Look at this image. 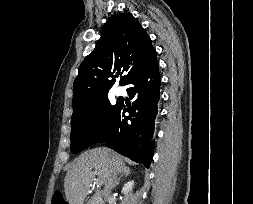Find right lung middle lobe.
Instances as JSON below:
<instances>
[{
  "label": "right lung middle lobe",
  "instance_id": "dd1d6c3e",
  "mask_svg": "<svg viewBox=\"0 0 253 204\" xmlns=\"http://www.w3.org/2000/svg\"><path fill=\"white\" fill-rule=\"evenodd\" d=\"M119 103L112 106L107 95L73 109L71 118V149L78 153L97 143L110 123Z\"/></svg>",
  "mask_w": 253,
  "mask_h": 204
}]
</instances>
